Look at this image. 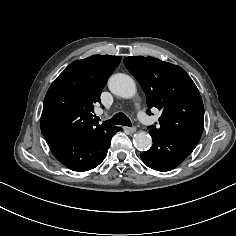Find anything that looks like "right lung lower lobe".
I'll return each mask as SVG.
<instances>
[{"label": "right lung lower lobe", "mask_w": 236, "mask_h": 236, "mask_svg": "<svg viewBox=\"0 0 236 236\" xmlns=\"http://www.w3.org/2000/svg\"><path fill=\"white\" fill-rule=\"evenodd\" d=\"M122 129L108 125L92 133L53 136L46 141L54 156L73 171H87L105 158L112 136Z\"/></svg>", "instance_id": "1"}]
</instances>
